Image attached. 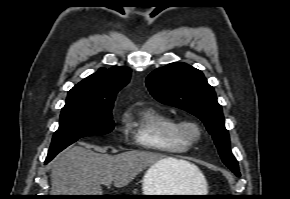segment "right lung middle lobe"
I'll return each instance as SVG.
<instances>
[{
	"instance_id": "obj_1",
	"label": "right lung middle lobe",
	"mask_w": 290,
	"mask_h": 199,
	"mask_svg": "<svg viewBox=\"0 0 290 199\" xmlns=\"http://www.w3.org/2000/svg\"><path fill=\"white\" fill-rule=\"evenodd\" d=\"M107 108H63L58 130L54 133L47 157L53 158L79 138L104 135L114 129L111 113Z\"/></svg>"
}]
</instances>
